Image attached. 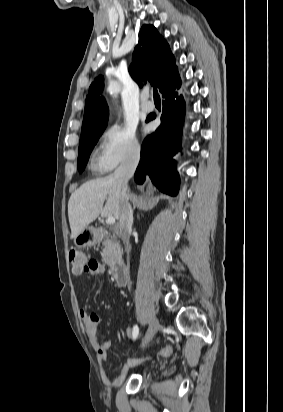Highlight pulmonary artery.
Listing matches in <instances>:
<instances>
[{"mask_svg": "<svg viewBox=\"0 0 283 412\" xmlns=\"http://www.w3.org/2000/svg\"><path fill=\"white\" fill-rule=\"evenodd\" d=\"M154 106L148 101V95H142L141 109L143 112H151Z\"/></svg>", "mask_w": 283, "mask_h": 412, "instance_id": "e3ab8cb5", "label": "pulmonary artery"}]
</instances>
